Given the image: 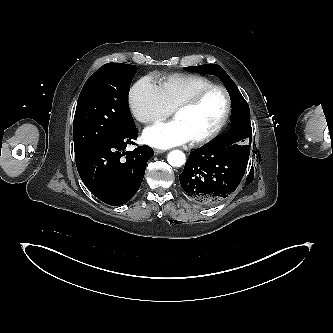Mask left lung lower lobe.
<instances>
[{
    "mask_svg": "<svg viewBox=\"0 0 333 333\" xmlns=\"http://www.w3.org/2000/svg\"><path fill=\"white\" fill-rule=\"evenodd\" d=\"M248 160L222 145L209 144L190 153L179 180L185 193L196 203L214 206L240 184Z\"/></svg>",
    "mask_w": 333,
    "mask_h": 333,
    "instance_id": "1",
    "label": "left lung lower lobe"
}]
</instances>
